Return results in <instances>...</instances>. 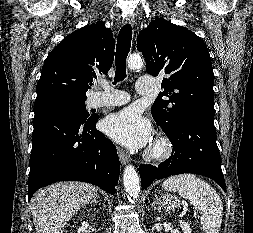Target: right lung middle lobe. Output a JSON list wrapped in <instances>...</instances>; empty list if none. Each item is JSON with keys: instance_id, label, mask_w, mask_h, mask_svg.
I'll return each mask as SVG.
<instances>
[{"instance_id": "dd1d6c3e", "label": "right lung middle lobe", "mask_w": 253, "mask_h": 233, "mask_svg": "<svg viewBox=\"0 0 253 233\" xmlns=\"http://www.w3.org/2000/svg\"><path fill=\"white\" fill-rule=\"evenodd\" d=\"M35 118L48 114H66L78 120L90 118L86 111L85 100H75L68 98H50L34 106Z\"/></svg>"}]
</instances>
